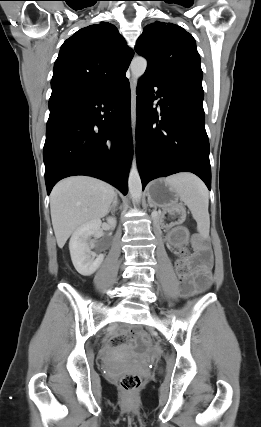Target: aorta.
I'll use <instances>...</instances> for the list:
<instances>
[{
    "mask_svg": "<svg viewBox=\"0 0 261 427\" xmlns=\"http://www.w3.org/2000/svg\"><path fill=\"white\" fill-rule=\"evenodd\" d=\"M147 68V61L141 56L135 57L131 64L130 69L134 85L136 86L140 77L145 73ZM129 192L134 202H139L142 197V183L139 175L136 158H133L129 179H128Z\"/></svg>",
    "mask_w": 261,
    "mask_h": 427,
    "instance_id": "obj_1",
    "label": "aorta"
}]
</instances>
